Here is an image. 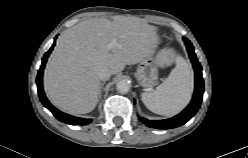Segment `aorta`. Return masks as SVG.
Wrapping results in <instances>:
<instances>
[{
  "instance_id": "1",
  "label": "aorta",
  "mask_w": 248,
  "mask_h": 158,
  "mask_svg": "<svg viewBox=\"0 0 248 158\" xmlns=\"http://www.w3.org/2000/svg\"><path fill=\"white\" fill-rule=\"evenodd\" d=\"M116 86H117V91L122 93V94L129 92V90L131 88L130 83L126 80L119 81Z\"/></svg>"
}]
</instances>
